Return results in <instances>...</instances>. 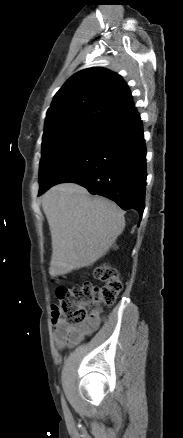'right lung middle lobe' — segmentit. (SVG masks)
I'll return each instance as SVG.
<instances>
[{"mask_svg": "<svg viewBox=\"0 0 183 438\" xmlns=\"http://www.w3.org/2000/svg\"><path fill=\"white\" fill-rule=\"evenodd\" d=\"M97 127L79 125L51 131L43 135L40 161V189L64 168L91 139Z\"/></svg>", "mask_w": 183, "mask_h": 438, "instance_id": "1", "label": "right lung middle lobe"}]
</instances>
